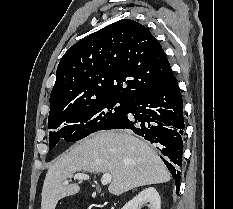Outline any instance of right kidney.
Segmentation results:
<instances>
[{"label":"right kidney","instance_id":"right-kidney-1","mask_svg":"<svg viewBox=\"0 0 233 209\" xmlns=\"http://www.w3.org/2000/svg\"><path fill=\"white\" fill-rule=\"evenodd\" d=\"M146 201L150 203V209H161V199L154 187L142 190L131 201L125 204L122 209H140L141 204Z\"/></svg>","mask_w":233,"mask_h":209}]
</instances>
